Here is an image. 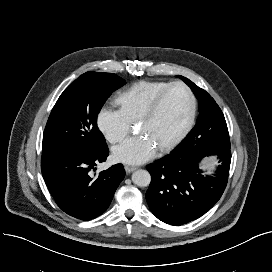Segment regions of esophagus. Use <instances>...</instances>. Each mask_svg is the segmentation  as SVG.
Segmentation results:
<instances>
[{"instance_id":"34e87169","label":"esophagus","mask_w":272,"mask_h":272,"mask_svg":"<svg viewBox=\"0 0 272 272\" xmlns=\"http://www.w3.org/2000/svg\"><path fill=\"white\" fill-rule=\"evenodd\" d=\"M125 171L127 172V173H131V172H133V171H135L136 169H137V167L136 166H131V165H125Z\"/></svg>"}]
</instances>
